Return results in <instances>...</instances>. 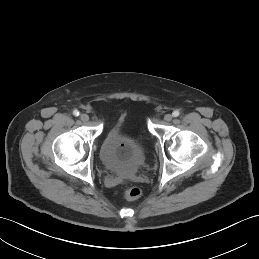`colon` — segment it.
Returning a JSON list of instances; mask_svg holds the SVG:
<instances>
[{
	"label": "colon",
	"mask_w": 259,
	"mask_h": 259,
	"mask_svg": "<svg viewBox=\"0 0 259 259\" xmlns=\"http://www.w3.org/2000/svg\"><path fill=\"white\" fill-rule=\"evenodd\" d=\"M141 193V189L135 186H127L122 190V195L126 200H137Z\"/></svg>",
	"instance_id": "obj_1"
}]
</instances>
